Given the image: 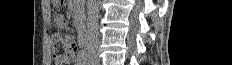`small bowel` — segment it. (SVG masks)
Masks as SVG:
<instances>
[{
  "instance_id": "1",
  "label": "small bowel",
  "mask_w": 232,
  "mask_h": 65,
  "mask_svg": "<svg viewBox=\"0 0 232 65\" xmlns=\"http://www.w3.org/2000/svg\"><path fill=\"white\" fill-rule=\"evenodd\" d=\"M57 25L58 28H63L66 30V20H64V16H60L61 14L58 12L57 14ZM62 37H71V32H62ZM86 61V54L84 52H80L74 61L75 65H84Z\"/></svg>"
}]
</instances>
